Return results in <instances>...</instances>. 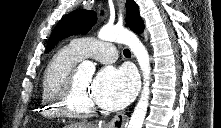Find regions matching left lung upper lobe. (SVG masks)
<instances>
[{"instance_id": "5c2ea615", "label": "left lung upper lobe", "mask_w": 221, "mask_h": 128, "mask_svg": "<svg viewBox=\"0 0 221 128\" xmlns=\"http://www.w3.org/2000/svg\"><path fill=\"white\" fill-rule=\"evenodd\" d=\"M126 22L136 33L143 31V21L139 17V8L133 0H127ZM97 15L94 11L79 9L66 15L55 27L51 34L46 51L49 52L58 41L74 34H86L96 23Z\"/></svg>"}]
</instances>
